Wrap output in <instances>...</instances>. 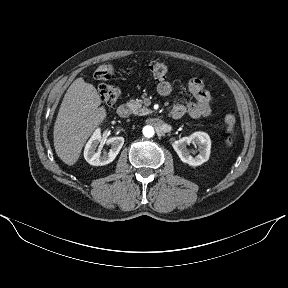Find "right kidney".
I'll use <instances>...</instances> for the list:
<instances>
[{
  "label": "right kidney",
  "mask_w": 288,
  "mask_h": 288,
  "mask_svg": "<svg viewBox=\"0 0 288 288\" xmlns=\"http://www.w3.org/2000/svg\"><path fill=\"white\" fill-rule=\"evenodd\" d=\"M104 143L110 144L111 148L108 153L104 152L103 155H101L100 151H97V147L99 144ZM123 144V137H111L104 140L101 137L100 129H97L85 146L84 158L90 165L93 166L109 164L116 158Z\"/></svg>",
  "instance_id": "ca27d5eb"
}]
</instances>
